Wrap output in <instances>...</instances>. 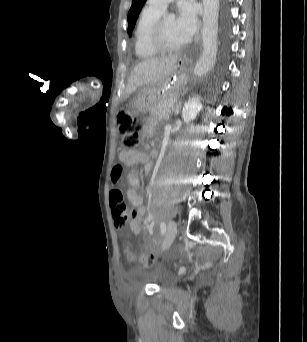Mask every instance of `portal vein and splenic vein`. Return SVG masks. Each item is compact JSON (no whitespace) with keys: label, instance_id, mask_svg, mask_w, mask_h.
Returning <instances> with one entry per match:
<instances>
[{"label":"portal vein and splenic vein","instance_id":"portal-vein-and-splenic-vein-1","mask_svg":"<svg viewBox=\"0 0 307 342\" xmlns=\"http://www.w3.org/2000/svg\"><path fill=\"white\" fill-rule=\"evenodd\" d=\"M173 105L171 104L170 106H168L166 109L168 110V111H172L173 110Z\"/></svg>","mask_w":307,"mask_h":342}]
</instances>
